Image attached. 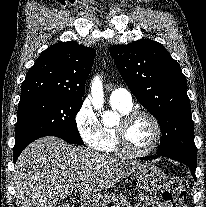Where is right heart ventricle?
I'll return each mask as SVG.
<instances>
[{"label":"right heart ventricle","mask_w":206,"mask_h":207,"mask_svg":"<svg viewBox=\"0 0 206 207\" xmlns=\"http://www.w3.org/2000/svg\"><path fill=\"white\" fill-rule=\"evenodd\" d=\"M112 108L121 113L122 115L127 114L129 111H131V108H125L119 104L112 103ZM104 129V134H105V148L104 150L107 152H118V145H117V139H116V134L115 130L112 127L105 126L103 127Z\"/></svg>","instance_id":"e07e8e85"}]
</instances>
